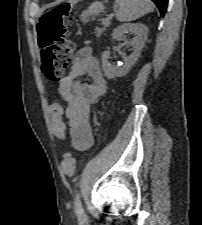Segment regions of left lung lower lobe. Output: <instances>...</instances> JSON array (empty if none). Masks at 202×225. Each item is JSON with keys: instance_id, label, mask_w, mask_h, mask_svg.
Listing matches in <instances>:
<instances>
[{"instance_id": "left-lung-lower-lobe-1", "label": "left lung lower lobe", "mask_w": 202, "mask_h": 225, "mask_svg": "<svg viewBox=\"0 0 202 225\" xmlns=\"http://www.w3.org/2000/svg\"><path fill=\"white\" fill-rule=\"evenodd\" d=\"M160 10L162 16H164L167 8L168 0H152Z\"/></svg>"}]
</instances>
